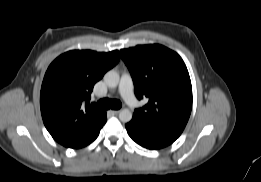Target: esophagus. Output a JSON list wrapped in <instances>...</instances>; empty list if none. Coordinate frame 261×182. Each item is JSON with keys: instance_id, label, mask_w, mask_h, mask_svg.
I'll return each instance as SVG.
<instances>
[{"instance_id": "obj_1", "label": "esophagus", "mask_w": 261, "mask_h": 182, "mask_svg": "<svg viewBox=\"0 0 261 182\" xmlns=\"http://www.w3.org/2000/svg\"><path fill=\"white\" fill-rule=\"evenodd\" d=\"M110 112H112L113 114H118L120 112V110H110Z\"/></svg>"}]
</instances>
